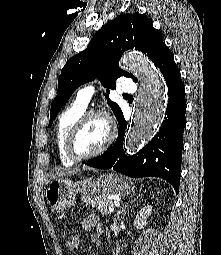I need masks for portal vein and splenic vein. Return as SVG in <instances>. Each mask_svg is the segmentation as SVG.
I'll list each match as a JSON object with an SVG mask.
<instances>
[{
    "mask_svg": "<svg viewBox=\"0 0 221 255\" xmlns=\"http://www.w3.org/2000/svg\"><path fill=\"white\" fill-rule=\"evenodd\" d=\"M115 205H116V206H119L120 204H119V202H115ZM109 210H110V212H113V211H114L113 207H111Z\"/></svg>",
    "mask_w": 221,
    "mask_h": 255,
    "instance_id": "1",
    "label": "portal vein and splenic vein"
}]
</instances>
